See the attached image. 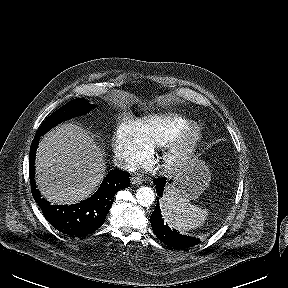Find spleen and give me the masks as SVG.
Instances as JSON below:
<instances>
[{
	"instance_id": "3e777b00",
	"label": "spleen",
	"mask_w": 288,
	"mask_h": 288,
	"mask_svg": "<svg viewBox=\"0 0 288 288\" xmlns=\"http://www.w3.org/2000/svg\"><path fill=\"white\" fill-rule=\"evenodd\" d=\"M164 220L180 231L200 227L207 219L208 211L189 203L188 200L166 191L161 200Z\"/></svg>"
}]
</instances>
